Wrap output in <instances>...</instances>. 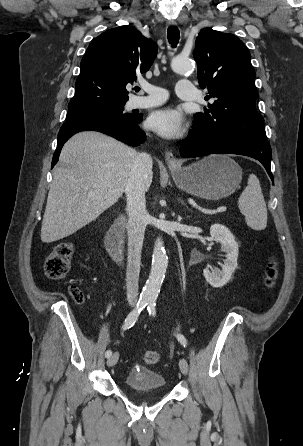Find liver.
Returning <instances> with one entry per match:
<instances>
[{"label":"liver","mask_w":303,"mask_h":446,"mask_svg":"<svg viewBox=\"0 0 303 446\" xmlns=\"http://www.w3.org/2000/svg\"><path fill=\"white\" fill-rule=\"evenodd\" d=\"M137 154L135 149L101 133L81 132L71 137L61 150V165L53 172L41 227L42 242L74 234L115 204L125 192Z\"/></svg>","instance_id":"1"}]
</instances>
